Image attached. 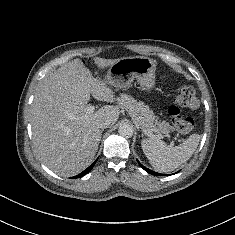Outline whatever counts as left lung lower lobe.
Segmentation results:
<instances>
[{"mask_svg":"<svg viewBox=\"0 0 235 235\" xmlns=\"http://www.w3.org/2000/svg\"><path fill=\"white\" fill-rule=\"evenodd\" d=\"M139 165L148 173L152 174V175H156V176H164L163 174H160V173H157V172H154L146 167H144L139 161H138Z\"/></svg>","mask_w":235,"mask_h":235,"instance_id":"0a47b994","label":"left lung lower lobe"}]
</instances>
